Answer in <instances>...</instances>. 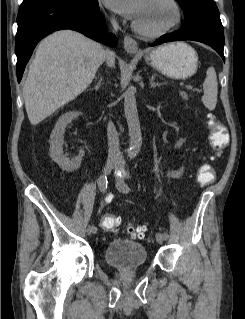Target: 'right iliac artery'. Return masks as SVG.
Instances as JSON below:
<instances>
[{
    "label": "right iliac artery",
    "mask_w": 245,
    "mask_h": 319,
    "mask_svg": "<svg viewBox=\"0 0 245 319\" xmlns=\"http://www.w3.org/2000/svg\"><path fill=\"white\" fill-rule=\"evenodd\" d=\"M107 176L106 175H101L99 177V187L101 191H104L107 188ZM112 200V195H109L106 197V201L110 202ZM92 232L96 233L97 232V228L95 226H92Z\"/></svg>",
    "instance_id": "82829eb1"
}]
</instances>
